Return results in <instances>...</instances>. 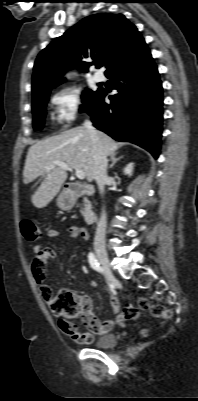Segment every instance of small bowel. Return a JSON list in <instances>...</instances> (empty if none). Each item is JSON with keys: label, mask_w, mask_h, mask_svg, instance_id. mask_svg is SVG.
I'll return each instance as SVG.
<instances>
[{"label": "small bowel", "mask_w": 198, "mask_h": 401, "mask_svg": "<svg viewBox=\"0 0 198 401\" xmlns=\"http://www.w3.org/2000/svg\"><path fill=\"white\" fill-rule=\"evenodd\" d=\"M68 233L71 237L80 238L82 240H88L89 234L85 228L79 226H70ZM51 238L58 237L60 232L56 228H51L47 232ZM34 255L31 259L30 270L34 281L39 287L40 294L44 299H48L51 294V288L45 284L46 280V267L55 258V251L49 247H43L39 244L33 247ZM60 271H63V267L60 266ZM80 302L83 307V316L86 319V326L89 329L87 333H81L71 323H67L64 320L59 322L60 329L65 335H68L75 339L81 344H89L95 335H101L108 332L113 325V317L120 310V300L116 293L111 292L109 294V300L112 307V318L106 321H101L93 313L92 300L87 295L80 296ZM89 317V318H88ZM73 330V333H70Z\"/></svg>", "instance_id": "small-bowel-1"}]
</instances>
